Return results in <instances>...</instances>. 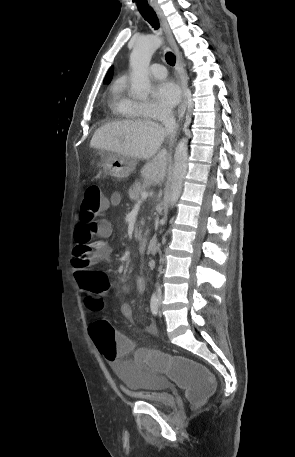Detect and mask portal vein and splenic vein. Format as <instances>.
<instances>
[{"instance_id": "portal-vein-and-splenic-vein-1", "label": "portal vein and splenic vein", "mask_w": 295, "mask_h": 457, "mask_svg": "<svg viewBox=\"0 0 295 457\" xmlns=\"http://www.w3.org/2000/svg\"><path fill=\"white\" fill-rule=\"evenodd\" d=\"M147 197H148V193L146 191H144V192H142L141 199L139 201H143V200L147 199Z\"/></svg>"}]
</instances>
